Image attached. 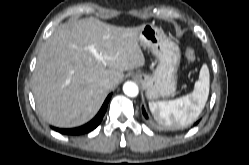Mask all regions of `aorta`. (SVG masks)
<instances>
[{"label": "aorta", "instance_id": "obj_1", "mask_svg": "<svg viewBox=\"0 0 249 165\" xmlns=\"http://www.w3.org/2000/svg\"><path fill=\"white\" fill-rule=\"evenodd\" d=\"M123 92L129 97H136L139 93V88L136 83L127 81L123 85Z\"/></svg>", "mask_w": 249, "mask_h": 165}]
</instances>
